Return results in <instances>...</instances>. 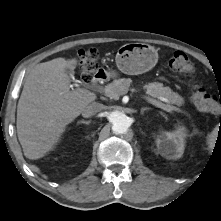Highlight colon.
Listing matches in <instances>:
<instances>
[{
    "mask_svg": "<svg viewBox=\"0 0 221 221\" xmlns=\"http://www.w3.org/2000/svg\"><path fill=\"white\" fill-rule=\"evenodd\" d=\"M99 53L96 49H85L80 52V79L88 82L99 70ZM171 71L182 76H192L195 72V65L183 52H175L168 62ZM192 102L202 112H216L221 105V97L207 92L199 84L192 86Z\"/></svg>",
    "mask_w": 221,
    "mask_h": 221,
    "instance_id": "obj_1",
    "label": "colon"
}]
</instances>
